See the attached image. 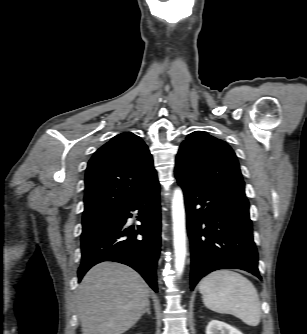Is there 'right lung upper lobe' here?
I'll use <instances>...</instances> for the list:
<instances>
[{
	"label": "right lung upper lobe",
	"mask_w": 307,
	"mask_h": 334,
	"mask_svg": "<svg viewBox=\"0 0 307 334\" xmlns=\"http://www.w3.org/2000/svg\"><path fill=\"white\" fill-rule=\"evenodd\" d=\"M156 184L146 144L131 132L121 133L98 149L88 163L83 216L115 214Z\"/></svg>",
	"instance_id": "right-lung-upper-lobe-1"
}]
</instances>
